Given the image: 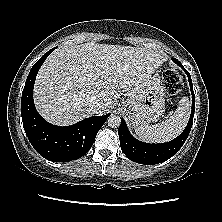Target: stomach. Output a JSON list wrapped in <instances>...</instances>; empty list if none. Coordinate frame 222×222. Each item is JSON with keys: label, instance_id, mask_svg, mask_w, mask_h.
Here are the masks:
<instances>
[{"label": "stomach", "instance_id": "0dacf381", "mask_svg": "<svg viewBox=\"0 0 222 222\" xmlns=\"http://www.w3.org/2000/svg\"><path fill=\"white\" fill-rule=\"evenodd\" d=\"M165 93L158 75H151L141 91L127 99L124 111L134 126L156 122L165 111Z\"/></svg>", "mask_w": 222, "mask_h": 222}]
</instances>
